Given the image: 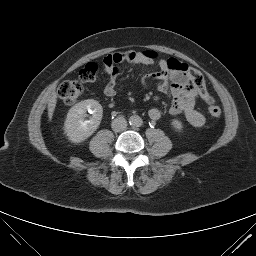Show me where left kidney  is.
<instances>
[{
  "label": "left kidney",
  "mask_w": 256,
  "mask_h": 256,
  "mask_svg": "<svg viewBox=\"0 0 256 256\" xmlns=\"http://www.w3.org/2000/svg\"><path fill=\"white\" fill-rule=\"evenodd\" d=\"M171 125L175 128L176 131L181 132L183 126L182 122L179 121L178 119H172Z\"/></svg>",
  "instance_id": "1"
}]
</instances>
